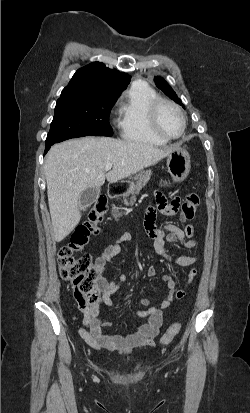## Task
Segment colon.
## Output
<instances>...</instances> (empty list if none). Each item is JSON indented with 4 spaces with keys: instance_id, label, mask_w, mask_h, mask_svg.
<instances>
[{
    "instance_id": "5ec220e1",
    "label": "colon",
    "mask_w": 250,
    "mask_h": 413,
    "mask_svg": "<svg viewBox=\"0 0 250 413\" xmlns=\"http://www.w3.org/2000/svg\"><path fill=\"white\" fill-rule=\"evenodd\" d=\"M199 197L190 193L178 207L181 221L190 220L195 216L199 206ZM107 211L104 198L98 199L92 206L88 220L79 225L69 244L63 246L58 254V269L60 276L72 283L74 297L80 306L92 307L99 305L100 292L98 287L99 270L88 255L76 258L75 254L82 250L89 239L97 233V224ZM181 330V324L174 322L161 337L163 345L169 344Z\"/></svg>"
}]
</instances>
